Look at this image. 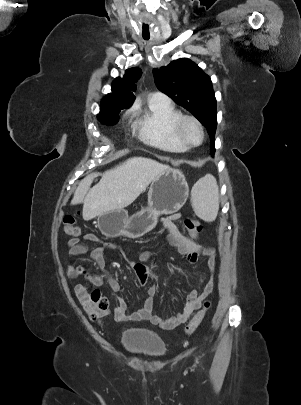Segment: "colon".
Here are the masks:
<instances>
[{
  "instance_id": "obj_1",
  "label": "colon",
  "mask_w": 301,
  "mask_h": 405,
  "mask_svg": "<svg viewBox=\"0 0 301 405\" xmlns=\"http://www.w3.org/2000/svg\"><path fill=\"white\" fill-rule=\"evenodd\" d=\"M77 218L74 214H67L63 218V227L66 234L71 236L80 235V228L77 226ZM184 226L188 230L192 237H197L198 234L203 229V224L201 221L196 219L187 218L184 220ZM198 240V239H195ZM84 290V295L81 299L82 306L93 321L100 320L103 316L108 313L109 304L107 299L101 294V292L96 288H87L83 285H79ZM210 301H205L202 309H200L190 320V322L185 327V333L187 335L192 334L204 319L206 312L210 308Z\"/></svg>"
}]
</instances>
